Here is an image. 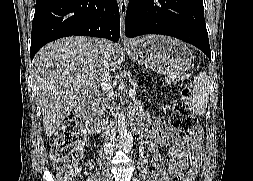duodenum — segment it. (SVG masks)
Returning <instances> with one entry per match:
<instances>
[{
	"label": "duodenum",
	"mask_w": 253,
	"mask_h": 181,
	"mask_svg": "<svg viewBox=\"0 0 253 181\" xmlns=\"http://www.w3.org/2000/svg\"><path fill=\"white\" fill-rule=\"evenodd\" d=\"M97 96H88L78 107V114L89 124L94 133L104 131V124L97 110Z\"/></svg>",
	"instance_id": "410a0bca"
}]
</instances>
